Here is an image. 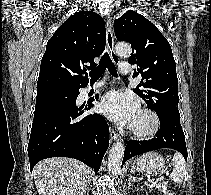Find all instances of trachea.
Here are the masks:
<instances>
[{
    "mask_svg": "<svg viewBox=\"0 0 211 195\" xmlns=\"http://www.w3.org/2000/svg\"><path fill=\"white\" fill-rule=\"evenodd\" d=\"M106 68L108 69V71L112 76L114 77L118 76L117 69L107 52L104 53V55L101 57L99 65L95 69L90 71L89 75L91 77V81L98 80L102 76Z\"/></svg>",
    "mask_w": 211,
    "mask_h": 195,
    "instance_id": "1",
    "label": "trachea"
}]
</instances>
